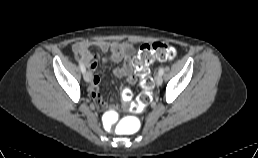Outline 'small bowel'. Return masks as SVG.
I'll list each match as a JSON object with an SVG mask.
<instances>
[{
  "instance_id": "c3829d8e",
  "label": "small bowel",
  "mask_w": 258,
  "mask_h": 158,
  "mask_svg": "<svg viewBox=\"0 0 258 158\" xmlns=\"http://www.w3.org/2000/svg\"><path fill=\"white\" fill-rule=\"evenodd\" d=\"M93 46L99 48L104 53L110 54L109 57L105 59V62H117L124 57L126 58L123 66L113 69V74L118 78H125L126 83L130 85H133L137 82V76L134 73L133 63L130 59V55L133 53V46L128 42L89 40L77 42L73 46L74 52L83 54V62L90 69V95L92 99L100 109H106L111 105L103 100L98 91V87L101 82V76L96 72L98 68L97 57L89 51V49ZM126 90L127 85L121 86L122 95L126 92Z\"/></svg>"
}]
</instances>
